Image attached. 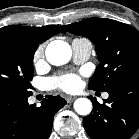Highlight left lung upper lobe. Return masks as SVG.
<instances>
[{
    "label": "left lung upper lobe",
    "instance_id": "1",
    "mask_svg": "<svg viewBox=\"0 0 139 139\" xmlns=\"http://www.w3.org/2000/svg\"><path fill=\"white\" fill-rule=\"evenodd\" d=\"M62 27L95 44L100 63L89 81V89L107 92L139 76V31L134 27L105 18H88Z\"/></svg>",
    "mask_w": 139,
    "mask_h": 139
}]
</instances>
